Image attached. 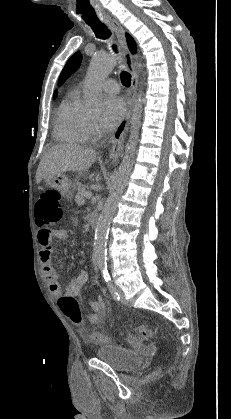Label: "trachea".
I'll return each mask as SVG.
<instances>
[{
	"label": "trachea",
	"mask_w": 231,
	"mask_h": 419,
	"mask_svg": "<svg viewBox=\"0 0 231 419\" xmlns=\"http://www.w3.org/2000/svg\"><path fill=\"white\" fill-rule=\"evenodd\" d=\"M87 24L91 27L97 38L108 39L111 36V32L108 30L107 26L102 22L98 21ZM113 49L116 51L117 47L113 45ZM121 81L124 86L129 87L131 83L130 74L126 71H123L121 73Z\"/></svg>",
	"instance_id": "obj_1"
}]
</instances>
